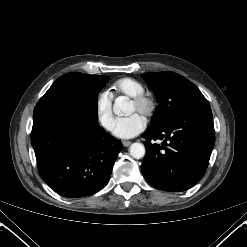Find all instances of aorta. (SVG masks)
<instances>
[{
	"mask_svg": "<svg viewBox=\"0 0 247 247\" xmlns=\"http://www.w3.org/2000/svg\"><path fill=\"white\" fill-rule=\"evenodd\" d=\"M130 104L124 97H118L115 100L113 110L117 115L129 113ZM145 146L141 143H133L130 146V155L135 159H141L145 156Z\"/></svg>",
	"mask_w": 247,
	"mask_h": 247,
	"instance_id": "1",
	"label": "aorta"
}]
</instances>
